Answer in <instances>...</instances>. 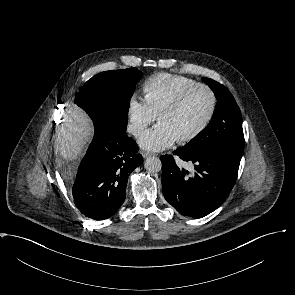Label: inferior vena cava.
Segmentation results:
<instances>
[{"instance_id":"1","label":"inferior vena cava","mask_w":295,"mask_h":295,"mask_svg":"<svg viewBox=\"0 0 295 295\" xmlns=\"http://www.w3.org/2000/svg\"><path fill=\"white\" fill-rule=\"evenodd\" d=\"M142 130V127L138 124H130L128 126V132L133 135H138Z\"/></svg>"}]
</instances>
